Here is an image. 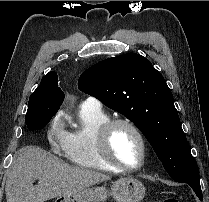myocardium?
<instances>
[{
	"instance_id": "myocardium-1",
	"label": "myocardium",
	"mask_w": 209,
	"mask_h": 202,
	"mask_svg": "<svg viewBox=\"0 0 209 202\" xmlns=\"http://www.w3.org/2000/svg\"><path fill=\"white\" fill-rule=\"evenodd\" d=\"M118 125H125L129 127L138 137L140 145H141V160L140 163L136 166H127L118 160H116L112 153L110 148V136L113 131V129ZM96 144L98 151L103 158V160L112 168L124 171V172H136L140 170L146 161L147 154H148V145L145 138L144 133L140 129V127L131 121L130 119L123 118V117H114L109 119L107 122H105L100 130L98 131L97 138H96Z\"/></svg>"
}]
</instances>
